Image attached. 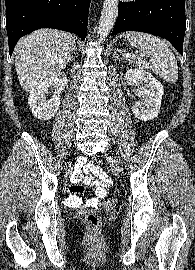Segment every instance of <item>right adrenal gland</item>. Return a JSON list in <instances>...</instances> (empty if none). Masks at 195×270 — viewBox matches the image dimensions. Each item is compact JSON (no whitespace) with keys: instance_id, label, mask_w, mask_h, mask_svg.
Instances as JSON below:
<instances>
[{"instance_id":"right-adrenal-gland-1","label":"right adrenal gland","mask_w":195,"mask_h":270,"mask_svg":"<svg viewBox=\"0 0 195 270\" xmlns=\"http://www.w3.org/2000/svg\"><path fill=\"white\" fill-rule=\"evenodd\" d=\"M76 51H77V48L75 47V48H74L73 55H76ZM73 55H72V57H73Z\"/></svg>"}]
</instances>
